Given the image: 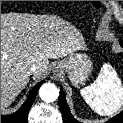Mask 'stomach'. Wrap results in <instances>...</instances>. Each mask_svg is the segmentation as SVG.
Masks as SVG:
<instances>
[{
    "label": "stomach",
    "instance_id": "obj_1",
    "mask_svg": "<svg viewBox=\"0 0 123 123\" xmlns=\"http://www.w3.org/2000/svg\"><path fill=\"white\" fill-rule=\"evenodd\" d=\"M58 68L66 71L71 83L78 86L87 80L92 70V62L84 53H72L68 59L58 64Z\"/></svg>",
    "mask_w": 123,
    "mask_h": 123
}]
</instances>
